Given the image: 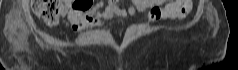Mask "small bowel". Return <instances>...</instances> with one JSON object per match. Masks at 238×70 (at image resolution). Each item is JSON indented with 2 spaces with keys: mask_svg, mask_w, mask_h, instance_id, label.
Instances as JSON below:
<instances>
[{
  "mask_svg": "<svg viewBox=\"0 0 238 70\" xmlns=\"http://www.w3.org/2000/svg\"><path fill=\"white\" fill-rule=\"evenodd\" d=\"M175 1L166 2L165 0H132L127 6H121L115 1L105 4L103 1L92 5L88 0H77L73 4L65 1V8L68 12V20L75 31L101 27L104 21L114 17L133 16L138 12L150 9L149 19L152 21L160 19H172L174 16L170 8L175 6Z\"/></svg>",
  "mask_w": 238,
  "mask_h": 70,
  "instance_id": "obj_1",
  "label": "small bowel"
}]
</instances>
